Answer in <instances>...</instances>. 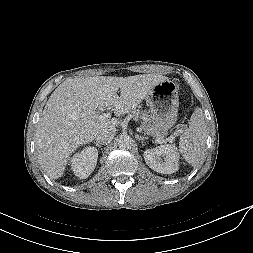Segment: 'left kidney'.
I'll return each instance as SVG.
<instances>
[{
	"instance_id": "obj_1",
	"label": "left kidney",
	"mask_w": 253,
	"mask_h": 253,
	"mask_svg": "<svg viewBox=\"0 0 253 253\" xmlns=\"http://www.w3.org/2000/svg\"><path fill=\"white\" fill-rule=\"evenodd\" d=\"M146 164L154 171L172 174L178 170L179 154L175 145H160L144 152Z\"/></svg>"
}]
</instances>
